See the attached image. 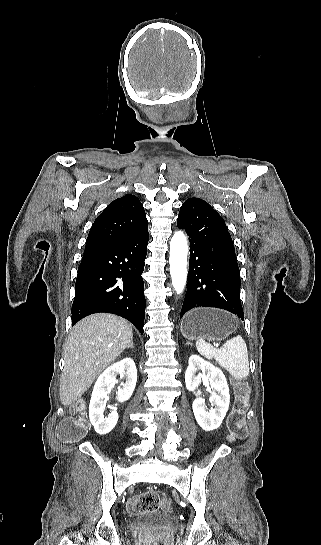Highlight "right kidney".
I'll list each match as a JSON object with an SVG mask.
<instances>
[{"instance_id":"obj_1","label":"right kidney","mask_w":321,"mask_h":545,"mask_svg":"<svg viewBox=\"0 0 321 545\" xmlns=\"http://www.w3.org/2000/svg\"><path fill=\"white\" fill-rule=\"evenodd\" d=\"M117 375L126 377V383L123 385V389H118L116 397L119 403H124V401L130 399L137 381V369L133 359L125 357L122 361L114 363L98 377L94 385L89 405V419L98 435L110 433L119 419L117 411H111L108 417L104 419L106 403L103 401L113 389L115 383H118L116 381Z\"/></svg>"}]
</instances>
